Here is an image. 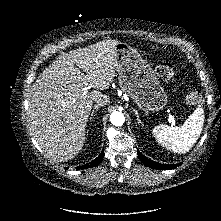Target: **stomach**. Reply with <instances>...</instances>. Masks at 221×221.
<instances>
[{
	"instance_id": "1",
	"label": "stomach",
	"mask_w": 221,
	"mask_h": 221,
	"mask_svg": "<svg viewBox=\"0 0 221 221\" xmlns=\"http://www.w3.org/2000/svg\"><path fill=\"white\" fill-rule=\"evenodd\" d=\"M114 53L121 90L146 113L163 109L167 103L166 92L140 53L123 42L117 43Z\"/></svg>"
}]
</instances>
